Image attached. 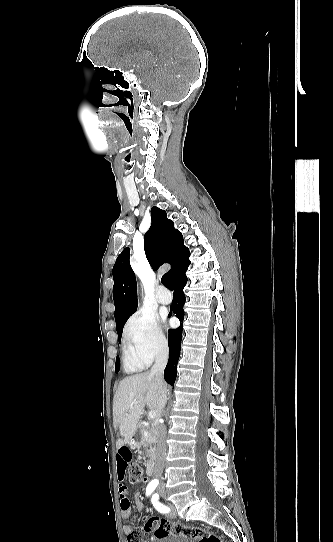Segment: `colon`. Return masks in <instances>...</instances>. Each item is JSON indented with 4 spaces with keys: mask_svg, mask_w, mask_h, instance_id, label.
<instances>
[{
    "mask_svg": "<svg viewBox=\"0 0 333 542\" xmlns=\"http://www.w3.org/2000/svg\"><path fill=\"white\" fill-rule=\"evenodd\" d=\"M133 454V452H132ZM146 469L143 465L133 462L130 466V478L133 483L142 482L146 476ZM145 533L154 532L156 539H164L168 536L181 537L190 542H231L230 536H219L199 526H189L181 522H171L166 519H158L154 516H145L142 528ZM142 531H129L128 542H146Z\"/></svg>",
    "mask_w": 333,
    "mask_h": 542,
    "instance_id": "5ec220e1",
    "label": "colon"
}]
</instances>
